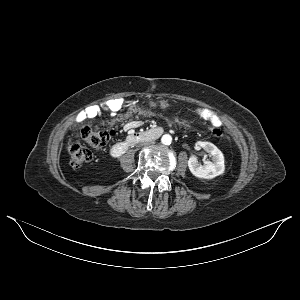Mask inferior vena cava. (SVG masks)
<instances>
[{"label":"inferior vena cava","instance_id":"1","mask_svg":"<svg viewBox=\"0 0 300 300\" xmlns=\"http://www.w3.org/2000/svg\"><path fill=\"white\" fill-rule=\"evenodd\" d=\"M156 143V140L155 139H145L142 141V144L143 145H154Z\"/></svg>","mask_w":300,"mask_h":300}]
</instances>
